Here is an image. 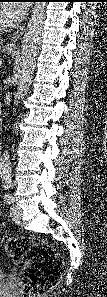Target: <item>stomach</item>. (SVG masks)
Instances as JSON below:
<instances>
[{
    "mask_svg": "<svg viewBox=\"0 0 107 297\" xmlns=\"http://www.w3.org/2000/svg\"><path fill=\"white\" fill-rule=\"evenodd\" d=\"M14 52V49H4V53L7 55H12Z\"/></svg>",
    "mask_w": 107,
    "mask_h": 297,
    "instance_id": "stomach-1",
    "label": "stomach"
}]
</instances>
